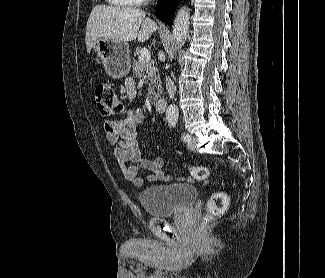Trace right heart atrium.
Listing matches in <instances>:
<instances>
[{
  "label": "right heart atrium",
  "instance_id": "obj_1",
  "mask_svg": "<svg viewBox=\"0 0 325 278\" xmlns=\"http://www.w3.org/2000/svg\"><path fill=\"white\" fill-rule=\"evenodd\" d=\"M136 1H137L138 4H142V3H145V2H147L149 0H136Z\"/></svg>",
  "mask_w": 325,
  "mask_h": 278
}]
</instances>
